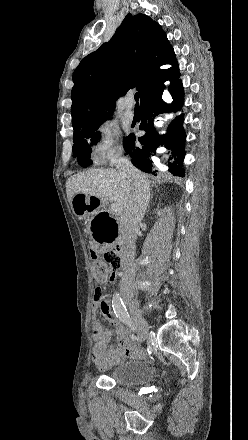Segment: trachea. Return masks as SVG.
Instances as JSON below:
<instances>
[{
    "label": "trachea",
    "instance_id": "3493384b",
    "mask_svg": "<svg viewBox=\"0 0 248 440\" xmlns=\"http://www.w3.org/2000/svg\"><path fill=\"white\" fill-rule=\"evenodd\" d=\"M134 99H135V101H136L135 107H136V108H139V103H138V101H139V94H138V93H136V94L134 95Z\"/></svg>",
    "mask_w": 248,
    "mask_h": 440
}]
</instances>
